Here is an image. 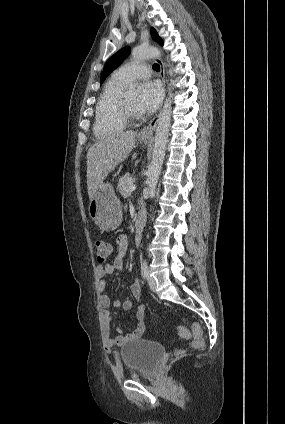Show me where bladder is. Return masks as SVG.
<instances>
[{
	"label": "bladder",
	"mask_w": 285,
	"mask_h": 424,
	"mask_svg": "<svg viewBox=\"0 0 285 424\" xmlns=\"http://www.w3.org/2000/svg\"><path fill=\"white\" fill-rule=\"evenodd\" d=\"M164 347L150 340H130L118 349V355L131 376L150 374L156 371L164 355Z\"/></svg>",
	"instance_id": "1"
}]
</instances>
